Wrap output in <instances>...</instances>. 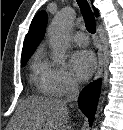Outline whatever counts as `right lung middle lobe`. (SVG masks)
<instances>
[{
    "instance_id": "1",
    "label": "right lung middle lobe",
    "mask_w": 123,
    "mask_h": 130,
    "mask_svg": "<svg viewBox=\"0 0 123 130\" xmlns=\"http://www.w3.org/2000/svg\"><path fill=\"white\" fill-rule=\"evenodd\" d=\"M30 57H31V55L22 56L21 57V65L25 66L26 62L29 60Z\"/></svg>"
}]
</instances>
